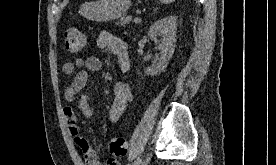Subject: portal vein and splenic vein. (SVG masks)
<instances>
[{"label":"portal vein and splenic vein","instance_id":"obj_1","mask_svg":"<svg viewBox=\"0 0 276 165\" xmlns=\"http://www.w3.org/2000/svg\"><path fill=\"white\" fill-rule=\"evenodd\" d=\"M139 22H141V18L140 17L134 18V23H139Z\"/></svg>","mask_w":276,"mask_h":165}]
</instances>
